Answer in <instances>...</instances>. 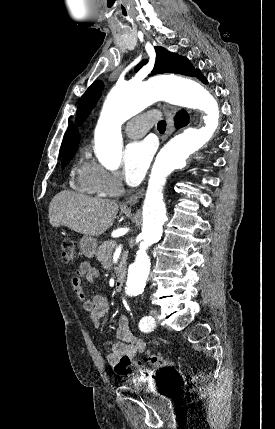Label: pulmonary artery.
Masks as SVG:
<instances>
[{"mask_svg": "<svg viewBox=\"0 0 275 429\" xmlns=\"http://www.w3.org/2000/svg\"><path fill=\"white\" fill-rule=\"evenodd\" d=\"M155 113L141 114L128 122L125 128L126 134L131 138H139L145 135L151 127Z\"/></svg>", "mask_w": 275, "mask_h": 429, "instance_id": "pulmonary-artery-1", "label": "pulmonary artery"}]
</instances>
